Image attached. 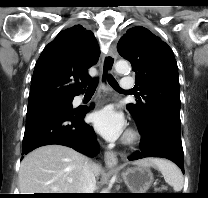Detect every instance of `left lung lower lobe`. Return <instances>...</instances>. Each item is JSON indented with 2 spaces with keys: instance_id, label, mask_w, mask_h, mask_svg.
Wrapping results in <instances>:
<instances>
[{
  "instance_id": "1",
  "label": "left lung lower lobe",
  "mask_w": 208,
  "mask_h": 198,
  "mask_svg": "<svg viewBox=\"0 0 208 198\" xmlns=\"http://www.w3.org/2000/svg\"><path fill=\"white\" fill-rule=\"evenodd\" d=\"M142 136L140 149L129 160L143 157H161L173 161L184 172L183 148L180 126L164 118H156L150 122Z\"/></svg>"
}]
</instances>
